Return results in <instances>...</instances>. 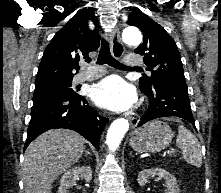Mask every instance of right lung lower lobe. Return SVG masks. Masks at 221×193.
<instances>
[{
  "instance_id": "right-lung-lower-lobe-1",
  "label": "right lung lower lobe",
  "mask_w": 221,
  "mask_h": 193,
  "mask_svg": "<svg viewBox=\"0 0 221 193\" xmlns=\"http://www.w3.org/2000/svg\"><path fill=\"white\" fill-rule=\"evenodd\" d=\"M107 122V118L100 116L88 105L85 97L78 94L35 99L24 150L32 140L53 128L74 130L98 149L100 136Z\"/></svg>"
}]
</instances>
